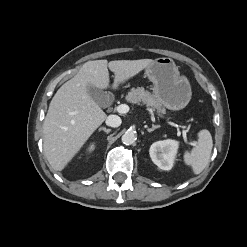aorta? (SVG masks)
Segmentation results:
<instances>
[{"instance_id":"1","label":"aorta","mask_w":247,"mask_h":247,"mask_svg":"<svg viewBox=\"0 0 247 247\" xmlns=\"http://www.w3.org/2000/svg\"><path fill=\"white\" fill-rule=\"evenodd\" d=\"M137 137H136V133L134 131H126L123 135H122V142L125 145H131L136 141Z\"/></svg>"}]
</instances>
